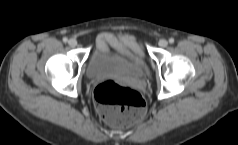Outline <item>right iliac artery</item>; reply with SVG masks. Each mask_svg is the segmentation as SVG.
<instances>
[{
	"mask_svg": "<svg viewBox=\"0 0 238 145\" xmlns=\"http://www.w3.org/2000/svg\"><path fill=\"white\" fill-rule=\"evenodd\" d=\"M67 41H68V38H67V37H64V38H63V42L66 43Z\"/></svg>",
	"mask_w": 238,
	"mask_h": 145,
	"instance_id": "obj_1",
	"label": "right iliac artery"
}]
</instances>
